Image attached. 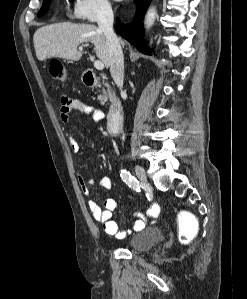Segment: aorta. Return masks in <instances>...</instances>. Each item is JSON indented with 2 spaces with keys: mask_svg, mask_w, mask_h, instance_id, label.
Returning <instances> with one entry per match:
<instances>
[{
  "mask_svg": "<svg viewBox=\"0 0 247 299\" xmlns=\"http://www.w3.org/2000/svg\"><path fill=\"white\" fill-rule=\"evenodd\" d=\"M156 15H157V12H156L155 7H150L149 10L147 11V14L145 16V21H144L145 28L147 30L153 26Z\"/></svg>",
  "mask_w": 247,
  "mask_h": 299,
  "instance_id": "762f6f07",
  "label": "aorta"
}]
</instances>
